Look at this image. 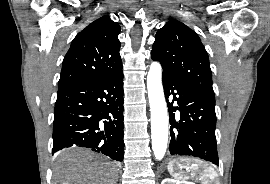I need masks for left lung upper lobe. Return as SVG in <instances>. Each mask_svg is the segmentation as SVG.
I'll use <instances>...</instances> for the list:
<instances>
[{"label":"left lung upper lobe","mask_w":270,"mask_h":184,"mask_svg":"<svg viewBox=\"0 0 270 184\" xmlns=\"http://www.w3.org/2000/svg\"><path fill=\"white\" fill-rule=\"evenodd\" d=\"M151 55L164 70L186 78L215 100L208 54L198 35L184 23L170 19L159 29Z\"/></svg>","instance_id":"left-lung-upper-lobe-1"}]
</instances>
